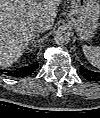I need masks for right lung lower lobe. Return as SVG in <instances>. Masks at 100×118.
<instances>
[{
	"instance_id": "1",
	"label": "right lung lower lobe",
	"mask_w": 100,
	"mask_h": 118,
	"mask_svg": "<svg viewBox=\"0 0 100 118\" xmlns=\"http://www.w3.org/2000/svg\"><path fill=\"white\" fill-rule=\"evenodd\" d=\"M38 63H33L29 66L23 67L19 70L16 71H9V70H4L6 75L8 76H13V77H26L33 73L37 68H38ZM3 72V71H1Z\"/></svg>"
}]
</instances>
